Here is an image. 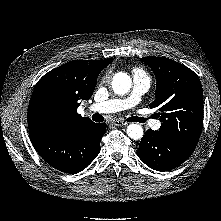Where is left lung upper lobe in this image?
Segmentation results:
<instances>
[{"mask_svg":"<svg viewBox=\"0 0 221 221\" xmlns=\"http://www.w3.org/2000/svg\"><path fill=\"white\" fill-rule=\"evenodd\" d=\"M153 70L157 86L150 108H158V134L196 147L203 124V92L195 72L171 59L143 57Z\"/></svg>","mask_w":221,"mask_h":221,"instance_id":"5c2ea615","label":"left lung upper lobe"}]
</instances>
